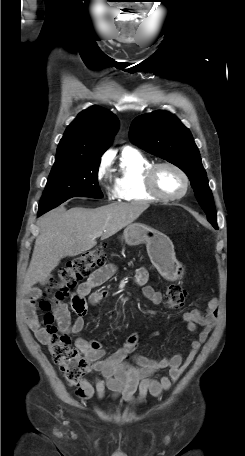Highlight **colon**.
<instances>
[{"mask_svg": "<svg viewBox=\"0 0 245 456\" xmlns=\"http://www.w3.org/2000/svg\"><path fill=\"white\" fill-rule=\"evenodd\" d=\"M107 259L105 247L99 246L69 260L60 268L58 277L50 282L40 302L46 331L50 337L49 352L54 363L62 370L65 379L73 385H78L82 381L91 371L92 365L81 357L72 345L70 337L59 332L55 321L59 319L58 310L67 292L75 288L92 268L105 266ZM185 296L184 289L179 284L172 283L167 287L164 303L168 308L178 309L183 306Z\"/></svg>", "mask_w": 245, "mask_h": 456, "instance_id": "obj_1", "label": "colon"}]
</instances>
